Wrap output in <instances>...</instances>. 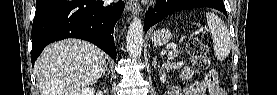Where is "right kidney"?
Instances as JSON below:
<instances>
[{
    "label": "right kidney",
    "mask_w": 277,
    "mask_h": 95,
    "mask_svg": "<svg viewBox=\"0 0 277 95\" xmlns=\"http://www.w3.org/2000/svg\"><path fill=\"white\" fill-rule=\"evenodd\" d=\"M94 93H95L94 88L88 87V88L81 89L76 93V95H94Z\"/></svg>",
    "instance_id": "ca27d5eb"
}]
</instances>
